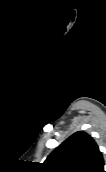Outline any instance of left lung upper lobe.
<instances>
[{
	"label": "left lung upper lobe",
	"instance_id": "1",
	"mask_svg": "<svg viewBox=\"0 0 106 172\" xmlns=\"http://www.w3.org/2000/svg\"><path fill=\"white\" fill-rule=\"evenodd\" d=\"M48 172H104L105 164L94 139L78 131L58 146L45 160Z\"/></svg>",
	"mask_w": 106,
	"mask_h": 172
}]
</instances>
